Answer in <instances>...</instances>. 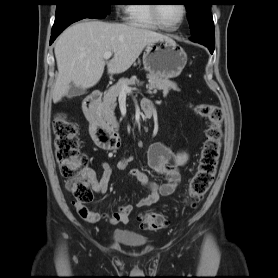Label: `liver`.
I'll use <instances>...</instances> for the list:
<instances>
[{
	"label": "liver",
	"mask_w": 278,
	"mask_h": 278,
	"mask_svg": "<svg viewBox=\"0 0 278 278\" xmlns=\"http://www.w3.org/2000/svg\"><path fill=\"white\" fill-rule=\"evenodd\" d=\"M167 37L136 25L89 21L76 23L58 38L55 57L58 68L52 92L57 103L67 94L71 83L87 89L96 85L105 67V52L114 53L107 62L109 74L125 72L149 43Z\"/></svg>",
	"instance_id": "6515ba94"
}]
</instances>
